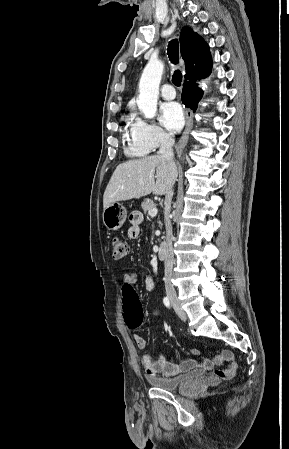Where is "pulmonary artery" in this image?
<instances>
[{
	"mask_svg": "<svg viewBox=\"0 0 289 449\" xmlns=\"http://www.w3.org/2000/svg\"><path fill=\"white\" fill-rule=\"evenodd\" d=\"M161 96L166 100L174 99L176 96V92L172 85L164 84L160 89Z\"/></svg>",
	"mask_w": 289,
	"mask_h": 449,
	"instance_id": "obj_1",
	"label": "pulmonary artery"
}]
</instances>
